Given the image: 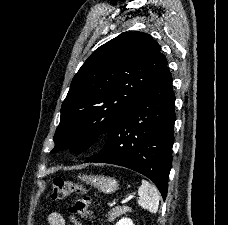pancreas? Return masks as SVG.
<instances>
[{"instance_id": "obj_1", "label": "pancreas", "mask_w": 228, "mask_h": 225, "mask_svg": "<svg viewBox=\"0 0 228 225\" xmlns=\"http://www.w3.org/2000/svg\"><path fill=\"white\" fill-rule=\"evenodd\" d=\"M131 209L130 207H116V209H112V211H109L107 217V221L111 223V221H114L116 217H120V215H126V213H130Z\"/></svg>"}]
</instances>
